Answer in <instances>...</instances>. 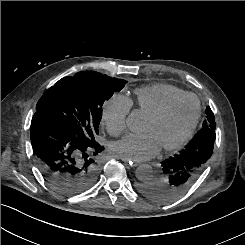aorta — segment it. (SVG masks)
I'll return each instance as SVG.
<instances>
[{
  "instance_id": "aorta-1",
  "label": "aorta",
  "mask_w": 245,
  "mask_h": 245,
  "mask_svg": "<svg viewBox=\"0 0 245 245\" xmlns=\"http://www.w3.org/2000/svg\"><path fill=\"white\" fill-rule=\"evenodd\" d=\"M126 123L131 130H138L142 124L140 114L134 110L128 116ZM136 176L141 181L150 180L153 177V168L148 164L140 165L136 170Z\"/></svg>"
}]
</instances>
